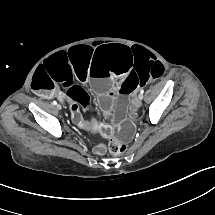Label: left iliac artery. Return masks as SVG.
<instances>
[{
	"instance_id": "44dca946",
	"label": "left iliac artery",
	"mask_w": 215,
	"mask_h": 215,
	"mask_svg": "<svg viewBox=\"0 0 215 215\" xmlns=\"http://www.w3.org/2000/svg\"><path fill=\"white\" fill-rule=\"evenodd\" d=\"M140 93H142V94H143V93H144V90H141V92H140Z\"/></svg>"
}]
</instances>
